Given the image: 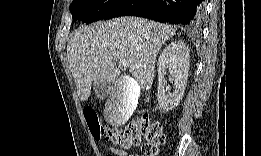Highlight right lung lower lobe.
<instances>
[{
	"mask_svg": "<svg viewBox=\"0 0 261 156\" xmlns=\"http://www.w3.org/2000/svg\"><path fill=\"white\" fill-rule=\"evenodd\" d=\"M203 10L202 0H120L102 19L133 15L194 28L200 24Z\"/></svg>",
	"mask_w": 261,
	"mask_h": 156,
	"instance_id": "obj_1",
	"label": "right lung lower lobe"
}]
</instances>
